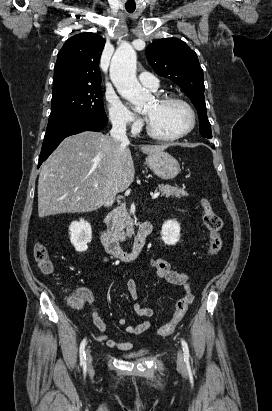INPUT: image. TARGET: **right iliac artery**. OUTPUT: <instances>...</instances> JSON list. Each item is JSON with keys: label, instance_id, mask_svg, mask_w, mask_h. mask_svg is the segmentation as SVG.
I'll use <instances>...</instances> for the list:
<instances>
[{"label": "right iliac artery", "instance_id": "obj_1", "mask_svg": "<svg viewBox=\"0 0 272 411\" xmlns=\"http://www.w3.org/2000/svg\"><path fill=\"white\" fill-rule=\"evenodd\" d=\"M86 339H84L80 344L79 354H80V364L83 369H86V354H85Z\"/></svg>", "mask_w": 272, "mask_h": 411}]
</instances>
